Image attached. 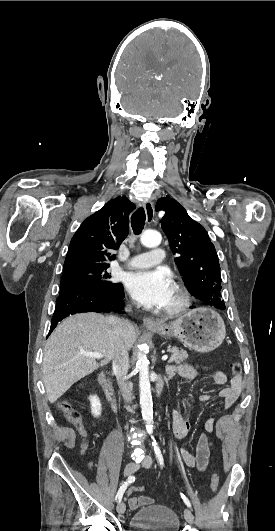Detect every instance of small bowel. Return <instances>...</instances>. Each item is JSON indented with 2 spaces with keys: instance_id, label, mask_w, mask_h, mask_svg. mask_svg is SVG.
<instances>
[{
  "instance_id": "obj_1",
  "label": "small bowel",
  "mask_w": 275,
  "mask_h": 531,
  "mask_svg": "<svg viewBox=\"0 0 275 531\" xmlns=\"http://www.w3.org/2000/svg\"><path fill=\"white\" fill-rule=\"evenodd\" d=\"M166 373L172 377L175 374H179L183 378L194 381L200 377V373L187 364L180 365H169L166 368ZM213 382L217 385H224L227 382L225 374L221 371H216L211 376ZM242 391V378L240 375H234L228 386L224 387L220 392L219 396L223 399L224 409L231 408L237 399L239 398ZM212 399V395L209 392H204L200 394L199 400L201 402H209ZM215 418H209L205 424V432L209 433L214 430L215 427ZM191 429V424L189 420L185 419L179 411L173 413V423L172 430L174 435L177 438H185L188 436ZM87 447H83L86 449ZM178 458L189 467L196 468L199 472H204L209 463L210 458V445L206 433H202L198 439L196 452L192 453L191 451L181 448L177 452ZM127 495L129 496L128 507L132 511H136L141 507L149 506L152 504V500L145 496H132V487L127 490Z\"/></svg>"
}]
</instances>
